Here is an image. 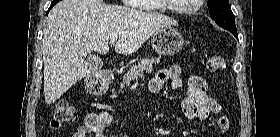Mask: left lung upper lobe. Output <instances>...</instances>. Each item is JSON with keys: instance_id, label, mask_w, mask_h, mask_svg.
<instances>
[{"instance_id": "obj_1", "label": "left lung upper lobe", "mask_w": 280, "mask_h": 137, "mask_svg": "<svg viewBox=\"0 0 280 137\" xmlns=\"http://www.w3.org/2000/svg\"><path fill=\"white\" fill-rule=\"evenodd\" d=\"M211 18L228 31H237L229 0H208Z\"/></svg>"}]
</instances>
